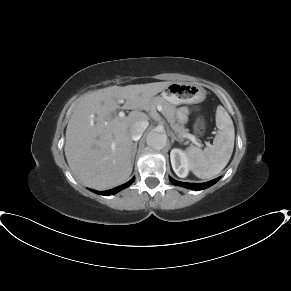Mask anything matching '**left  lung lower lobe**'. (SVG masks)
Returning a JSON list of instances; mask_svg holds the SVG:
<instances>
[{"mask_svg":"<svg viewBox=\"0 0 291 291\" xmlns=\"http://www.w3.org/2000/svg\"><path fill=\"white\" fill-rule=\"evenodd\" d=\"M220 178L211 180L209 182H205V183H185V182H180V181H176L172 178H170L171 183H173L174 185H178V186H182V187H186L192 190H202L205 188H208L210 186H212L213 184H215Z\"/></svg>","mask_w":291,"mask_h":291,"instance_id":"0a47b994","label":"left lung lower lobe"}]
</instances>
